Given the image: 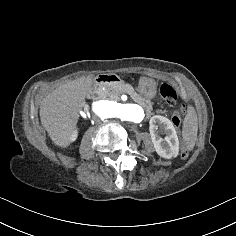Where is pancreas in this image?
<instances>
[{
	"label": "pancreas",
	"instance_id": "cf45deb5",
	"mask_svg": "<svg viewBox=\"0 0 236 236\" xmlns=\"http://www.w3.org/2000/svg\"><path fill=\"white\" fill-rule=\"evenodd\" d=\"M127 93L136 103L141 105L146 111L148 116L152 115L154 101L141 96L137 93L134 87L128 83L120 82L113 86L106 88L104 92L99 93L100 99L111 100V101H120L121 94ZM166 114L167 110H156L155 114Z\"/></svg>",
	"mask_w": 236,
	"mask_h": 236
}]
</instances>
